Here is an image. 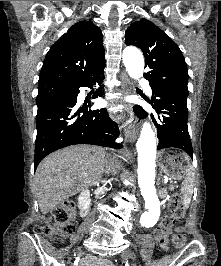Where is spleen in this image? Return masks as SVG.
<instances>
[{
  "mask_svg": "<svg viewBox=\"0 0 221 266\" xmlns=\"http://www.w3.org/2000/svg\"><path fill=\"white\" fill-rule=\"evenodd\" d=\"M182 193L184 197V204L189 205L191 201L190 196L193 193V173L191 165L189 167V172L187 174V177L183 181Z\"/></svg>",
  "mask_w": 221,
  "mask_h": 266,
  "instance_id": "3e777b00",
  "label": "spleen"
}]
</instances>
